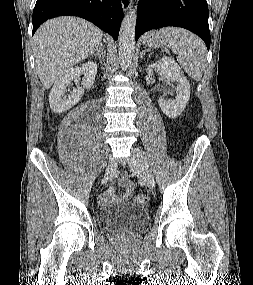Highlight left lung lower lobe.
<instances>
[{"label":"left lung lower lobe","instance_id":"0a47b994","mask_svg":"<svg viewBox=\"0 0 253 285\" xmlns=\"http://www.w3.org/2000/svg\"><path fill=\"white\" fill-rule=\"evenodd\" d=\"M137 15L136 41L151 29L177 26L194 32L210 48L206 0H141Z\"/></svg>","mask_w":253,"mask_h":285}]
</instances>
